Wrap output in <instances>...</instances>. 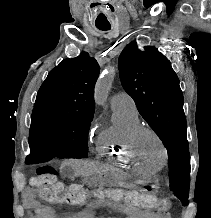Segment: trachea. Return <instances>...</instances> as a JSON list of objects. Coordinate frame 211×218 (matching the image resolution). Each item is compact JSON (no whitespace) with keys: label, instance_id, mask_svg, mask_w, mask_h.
<instances>
[{"label":"trachea","instance_id":"3493384b","mask_svg":"<svg viewBox=\"0 0 211 218\" xmlns=\"http://www.w3.org/2000/svg\"><path fill=\"white\" fill-rule=\"evenodd\" d=\"M97 28H99V30H104V31H107V30H110V26H97Z\"/></svg>","mask_w":211,"mask_h":218}]
</instances>
